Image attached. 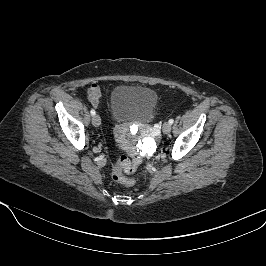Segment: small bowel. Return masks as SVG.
Wrapping results in <instances>:
<instances>
[{"label": "small bowel", "instance_id": "small-bowel-1", "mask_svg": "<svg viewBox=\"0 0 266 266\" xmlns=\"http://www.w3.org/2000/svg\"><path fill=\"white\" fill-rule=\"evenodd\" d=\"M101 94H102V89L97 84H92V86L88 89L87 92L88 99L93 106L95 107L98 106Z\"/></svg>", "mask_w": 266, "mask_h": 266}]
</instances>
